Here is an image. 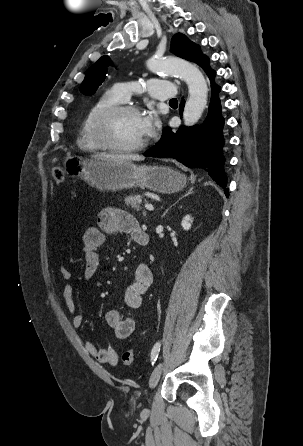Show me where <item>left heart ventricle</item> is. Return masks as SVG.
Wrapping results in <instances>:
<instances>
[{"label": "left heart ventricle", "instance_id": "left-heart-ventricle-1", "mask_svg": "<svg viewBox=\"0 0 303 446\" xmlns=\"http://www.w3.org/2000/svg\"><path fill=\"white\" fill-rule=\"evenodd\" d=\"M140 114L124 113L116 116L110 124V140L119 146H130L145 139L141 129Z\"/></svg>", "mask_w": 303, "mask_h": 446}]
</instances>
